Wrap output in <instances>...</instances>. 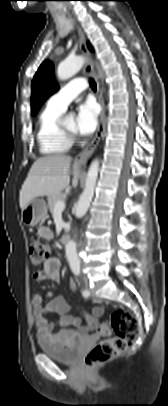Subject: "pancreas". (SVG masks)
Here are the masks:
<instances>
[{"instance_id": "1", "label": "pancreas", "mask_w": 168, "mask_h": 406, "mask_svg": "<svg viewBox=\"0 0 168 406\" xmlns=\"http://www.w3.org/2000/svg\"><path fill=\"white\" fill-rule=\"evenodd\" d=\"M63 199V195L60 193L56 196L48 198V206L51 213L55 211V204L57 201H61Z\"/></svg>"}]
</instances>
